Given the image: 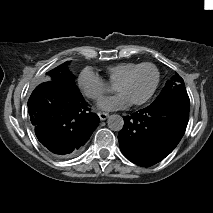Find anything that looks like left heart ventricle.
<instances>
[{
    "instance_id": "b2bd125f",
    "label": "left heart ventricle",
    "mask_w": 213,
    "mask_h": 213,
    "mask_svg": "<svg viewBox=\"0 0 213 213\" xmlns=\"http://www.w3.org/2000/svg\"><path fill=\"white\" fill-rule=\"evenodd\" d=\"M155 74L151 68H144L119 85L114 90L124 95L129 102L144 97L151 89Z\"/></svg>"
}]
</instances>
